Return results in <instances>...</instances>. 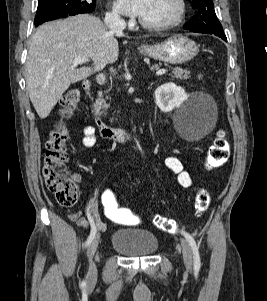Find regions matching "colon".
<instances>
[{"instance_id": "1", "label": "colon", "mask_w": 267, "mask_h": 301, "mask_svg": "<svg viewBox=\"0 0 267 301\" xmlns=\"http://www.w3.org/2000/svg\"><path fill=\"white\" fill-rule=\"evenodd\" d=\"M80 94L76 89L64 93L60 101L62 118H68L79 102ZM68 129L63 121L56 123L46 142L43 175L47 189L52 192L57 202L63 206H72L78 198V187L75 179L64 169L69 159L67 150ZM230 155V144L223 131H219L208 150L205 166L213 169L226 163ZM195 208L198 214L205 212L210 205V195L204 188L198 190L195 196ZM100 207L104 216L115 223L128 224L136 220L134 214L122 207L117 195L111 189H106L100 196ZM153 224L166 232H176V222L161 215L152 217Z\"/></svg>"}]
</instances>
